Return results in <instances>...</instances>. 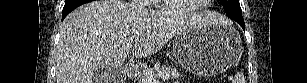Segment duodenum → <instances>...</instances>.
I'll return each mask as SVG.
<instances>
[{
  "instance_id": "1",
  "label": "duodenum",
  "mask_w": 307,
  "mask_h": 83,
  "mask_svg": "<svg viewBox=\"0 0 307 83\" xmlns=\"http://www.w3.org/2000/svg\"><path fill=\"white\" fill-rule=\"evenodd\" d=\"M127 73L130 74V75H133V74L136 73V71H135L131 66H129V67L127 68Z\"/></svg>"
}]
</instances>
